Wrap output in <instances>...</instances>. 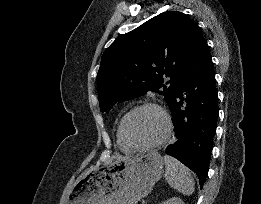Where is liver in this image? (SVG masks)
<instances>
[{"label":"liver","instance_id":"6515ba94","mask_svg":"<svg viewBox=\"0 0 261 204\" xmlns=\"http://www.w3.org/2000/svg\"><path fill=\"white\" fill-rule=\"evenodd\" d=\"M93 169H94V168H93V167H91V168H90V171H91V170H93Z\"/></svg>","mask_w":261,"mask_h":204}]
</instances>
